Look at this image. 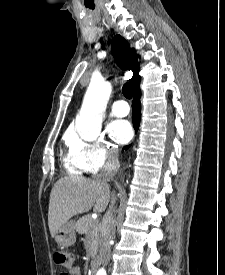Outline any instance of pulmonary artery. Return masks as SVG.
I'll return each instance as SVG.
<instances>
[{"instance_id":"1","label":"pulmonary artery","mask_w":225,"mask_h":275,"mask_svg":"<svg viewBox=\"0 0 225 275\" xmlns=\"http://www.w3.org/2000/svg\"><path fill=\"white\" fill-rule=\"evenodd\" d=\"M111 113L117 117H124L129 113V106L123 100H118L113 103Z\"/></svg>"}]
</instances>
